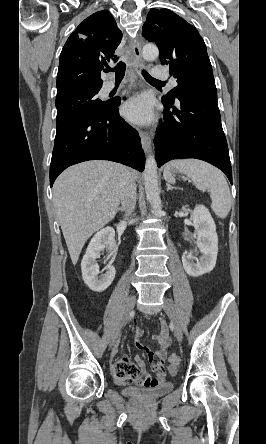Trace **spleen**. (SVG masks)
Instances as JSON below:
<instances>
[{
    "label": "spleen",
    "instance_id": "3e777b00",
    "mask_svg": "<svg viewBox=\"0 0 266 444\" xmlns=\"http://www.w3.org/2000/svg\"><path fill=\"white\" fill-rule=\"evenodd\" d=\"M171 169L186 174L198 190H208L214 213L220 218L227 217L231 209V195L225 176L220 170L198 159L172 160L164 169L169 182L175 181L174 177L168 175Z\"/></svg>",
    "mask_w": 266,
    "mask_h": 444
}]
</instances>
